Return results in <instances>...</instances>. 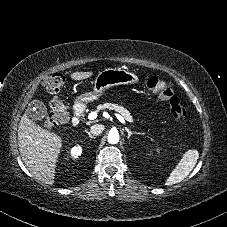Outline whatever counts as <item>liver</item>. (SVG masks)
<instances>
[{"label": "liver", "instance_id": "6515ba94", "mask_svg": "<svg viewBox=\"0 0 227 227\" xmlns=\"http://www.w3.org/2000/svg\"><path fill=\"white\" fill-rule=\"evenodd\" d=\"M92 75L93 72H74L70 77L84 80ZM17 133L20 155L28 170L37 180L52 185L62 137L33 122L27 112L21 117Z\"/></svg>", "mask_w": 227, "mask_h": 227}]
</instances>
